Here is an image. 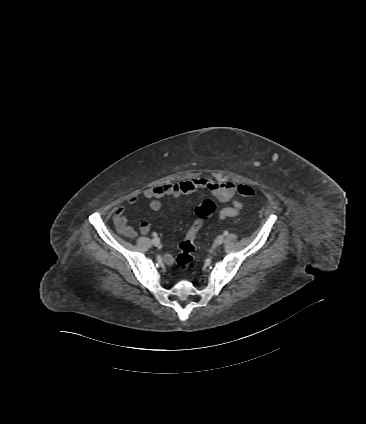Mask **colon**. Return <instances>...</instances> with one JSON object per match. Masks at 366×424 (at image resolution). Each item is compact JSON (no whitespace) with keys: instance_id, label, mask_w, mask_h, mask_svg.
<instances>
[{"instance_id":"1","label":"colon","mask_w":366,"mask_h":424,"mask_svg":"<svg viewBox=\"0 0 366 424\" xmlns=\"http://www.w3.org/2000/svg\"><path fill=\"white\" fill-rule=\"evenodd\" d=\"M237 190L239 195L245 199L252 197L255 193L254 189L247 184L239 185ZM215 209V203L209 199L204 200L195 208V220L179 245L176 263L180 272H186L190 268L194 260L197 234L203 223L215 212Z\"/></svg>"}]
</instances>
